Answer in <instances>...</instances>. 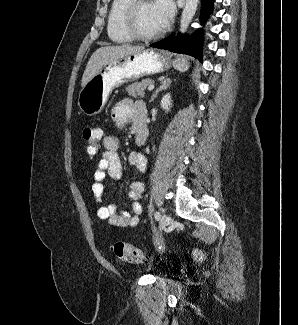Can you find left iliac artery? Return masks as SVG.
Listing matches in <instances>:
<instances>
[{"label":"left iliac artery","mask_w":298,"mask_h":325,"mask_svg":"<svg viewBox=\"0 0 298 325\" xmlns=\"http://www.w3.org/2000/svg\"><path fill=\"white\" fill-rule=\"evenodd\" d=\"M160 213L157 211V212H155V214H154V217H155V219L156 220H159L160 219Z\"/></svg>","instance_id":"obj_1"}]
</instances>
